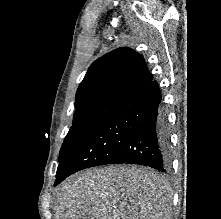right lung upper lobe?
<instances>
[{"mask_svg":"<svg viewBox=\"0 0 221 219\" xmlns=\"http://www.w3.org/2000/svg\"><path fill=\"white\" fill-rule=\"evenodd\" d=\"M151 81L143 57L130 48H118L90 66L78 87L75 106L101 99L123 100Z\"/></svg>","mask_w":221,"mask_h":219,"instance_id":"right-lung-upper-lobe-1","label":"right lung upper lobe"}]
</instances>
